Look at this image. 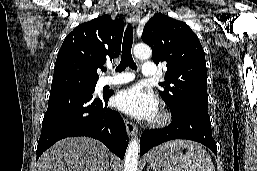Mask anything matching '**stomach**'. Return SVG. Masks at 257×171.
Wrapping results in <instances>:
<instances>
[{"label":"stomach","mask_w":257,"mask_h":171,"mask_svg":"<svg viewBox=\"0 0 257 171\" xmlns=\"http://www.w3.org/2000/svg\"><path fill=\"white\" fill-rule=\"evenodd\" d=\"M183 153L180 149L165 145L154 148L148 155V163L154 171H174Z\"/></svg>","instance_id":"0dacf381"}]
</instances>
